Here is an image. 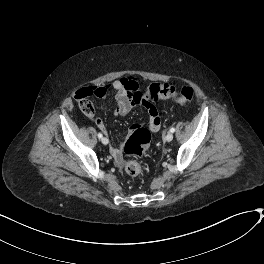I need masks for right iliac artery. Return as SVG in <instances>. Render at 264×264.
I'll return each mask as SVG.
<instances>
[{"instance_id": "82829eb1", "label": "right iliac artery", "mask_w": 264, "mask_h": 264, "mask_svg": "<svg viewBox=\"0 0 264 264\" xmlns=\"http://www.w3.org/2000/svg\"><path fill=\"white\" fill-rule=\"evenodd\" d=\"M98 137H99V138H102L103 135H102L101 133H98Z\"/></svg>"}]
</instances>
